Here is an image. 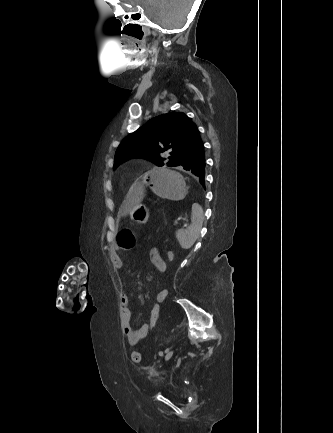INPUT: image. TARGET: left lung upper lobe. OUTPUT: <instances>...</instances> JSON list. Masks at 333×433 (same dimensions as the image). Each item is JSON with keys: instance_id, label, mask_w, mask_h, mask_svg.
Returning <instances> with one entry per match:
<instances>
[{"instance_id": "1", "label": "left lung upper lobe", "mask_w": 333, "mask_h": 433, "mask_svg": "<svg viewBox=\"0 0 333 433\" xmlns=\"http://www.w3.org/2000/svg\"><path fill=\"white\" fill-rule=\"evenodd\" d=\"M201 141L196 124L184 113L162 114L122 141L116 151L114 169L132 157L146 158L157 166L176 167ZM164 152H168L167 158L162 157Z\"/></svg>"}]
</instances>
